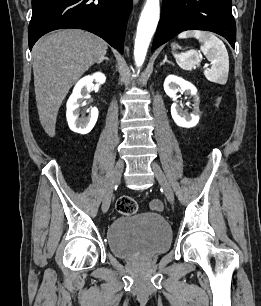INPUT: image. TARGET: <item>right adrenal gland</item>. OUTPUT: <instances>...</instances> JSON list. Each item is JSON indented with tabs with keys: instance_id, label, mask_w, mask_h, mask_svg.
<instances>
[{
	"instance_id": "2a0ac1e0",
	"label": "right adrenal gland",
	"mask_w": 261,
	"mask_h": 306,
	"mask_svg": "<svg viewBox=\"0 0 261 306\" xmlns=\"http://www.w3.org/2000/svg\"><path fill=\"white\" fill-rule=\"evenodd\" d=\"M104 60L109 61V58H108V57H103V59H101L100 61H98L97 64L102 63Z\"/></svg>"
}]
</instances>
